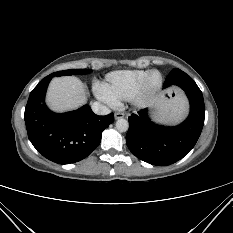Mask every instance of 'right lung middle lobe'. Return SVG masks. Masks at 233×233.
<instances>
[{
    "label": "right lung middle lobe",
    "mask_w": 233,
    "mask_h": 233,
    "mask_svg": "<svg viewBox=\"0 0 233 233\" xmlns=\"http://www.w3.org/2000/svg\"><path fill=\"white\" fill-rule=\"evenodd\" d=\"M92 70L91 69H69V70H64V71H58L56 73H52L54 76H64V75H83V74H88Z\"/></svg>",
    "instance_id": "right-lung-middle-lobe-1"
}]
</instances>
